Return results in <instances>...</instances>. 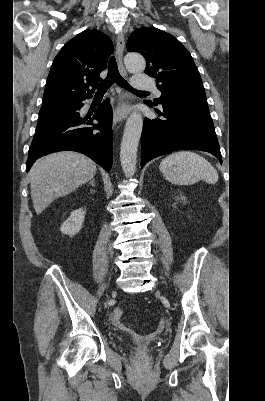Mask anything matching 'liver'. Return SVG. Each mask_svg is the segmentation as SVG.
<instances>
[{"instance_id":"1","label":"liver","mask_w":265,"mask_h":401,"mask_svg":"<svg viewBox=\"0 0 265 401\" xmlns=\"http://www.w3.org/2000/svg\"><path fill=\"white\" fill-rule=\"evenodd\" d=\"M96 170L95 162L79 152H53L36 160L29 172L36 215L43 213L59 196L91 180Z\"/></svg>"}]
</instances>
